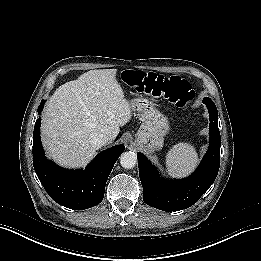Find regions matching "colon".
Masks as SVG:
<instances>
[{
  "instance_id": "1",
  "label": "colon",
  "mask_w": 261,
  "mask_h": 261,
  "mask_svg": "<svg viewBox=\"0 0 261 261\" xmlns=\"http://www.w3.org/2000/svg\"><path fill=\"white\" fill-rule=\"evenodd\" d=\"M131 84L154 97H163L181 109L187 108L194 98L190 84L178 76L164 78L154 72L132 71Z\"/></svg>"
}]
</instances>
